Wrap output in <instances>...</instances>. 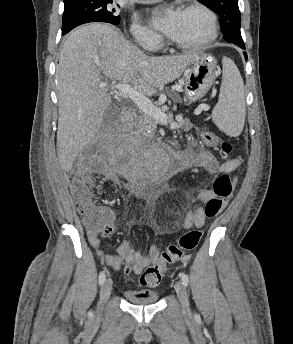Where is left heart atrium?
<instances>
[{"mask_svg":"<svg viewBox=\"0 0 293 344\" xmlns=\"http://www.w3.org/2000/svg\"><path fill=\"white\" fill-rule=\"evenodd\" d=\"M177 13V11L171 8L154 10L150 15L151 24L159 31L169 35L174 27Z\"/></svg>","mask_w":293,"mask_h":344,"instance_id":"left-heart-atrium-1","label":"left heart atrium"}]
</instances>
